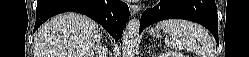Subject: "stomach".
Masks as SVG:
<instances>
[{
  "label": "stomach",
  "instance_id": "1",
  "mask_svg": "<svg viewBox=\"0 0 249 57\" xmlns=\"http://www.w3.org/2000/svg\"><path fill=\"white\" fill-rule=\"evenodd\" d=\"M159 33H160V32H157L156 29H151V30H150V34L153 35V36L158 37Z\"/></svg>",
  "mask_w": 249,
  "mask_h": 57
}]
</instances>
